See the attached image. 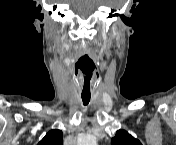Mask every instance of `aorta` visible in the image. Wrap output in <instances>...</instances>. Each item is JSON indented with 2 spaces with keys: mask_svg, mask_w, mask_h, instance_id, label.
<instances>
[{
  "mask_svg": "<svg viewBox=\"0 0 176 145\" xmlns=\"http://www.w3.org/2000/svg\"><path fill=\"white\" fill-rule=\"evenodd\" d=\"M82 143L85 145H96L97 140L92 135H86V136H84Z\"/></svg>",
  "mask_w": 176,
  "mask_h": 145,
  "instance_id": "aorta-1",
  "label": "aorta"
}]
</instances>
